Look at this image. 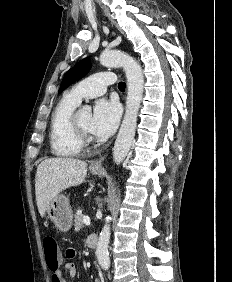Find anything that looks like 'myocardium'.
<instances>
[{
    "mask_svg": "<svg viewBox=\"0 0 232 282\" xmlns=\"http://www.w3.org/2000/svg\"><path fill=\"white\" fill-rule=\"evenodd\" d=\"M78 111H74L71 115L70 122L73 133L76 139L82 144H89L93 141V137L91 136L90 132L84 129L77 118Z\"/></svg>",
    "mask_w": 232,
    "mask_h": 282,
    "instance_id": "1",
    "label": "myocardium"
}]
</instances>
